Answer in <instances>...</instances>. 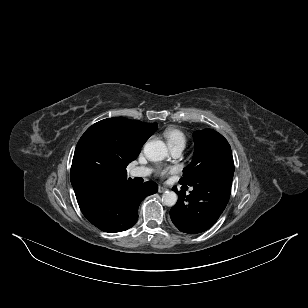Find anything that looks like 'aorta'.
<instances>
[{
  "mask_svg": "<svg viewBox=\"0 0 308 308\" xmlns=\"http://www.w3.org/2000/svg\"><path fill=\"white\" fill-rule=\"evenodd\" d=\"M145 156L153 162L161 161L168 156V149L164 142L160 140H152L144 146ZM178 196L173 191H166L162 196V202L166 206H174Z\"/></svg>",
  "mask_w": 308,
  "mask_h": 308,
  "instance_id": "762f6f07",
  "label": "aorta"
}]
</instances>
